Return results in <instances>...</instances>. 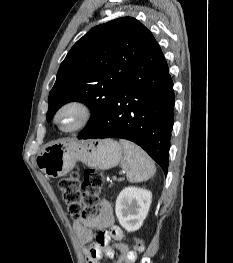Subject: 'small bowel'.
<instances>
[{
  "label": "small bowel",
  "instance_id": "obj_1",
  "mask_svg": "<svg viewBox=\"0 0 233 263\" xmlns=\"http://www.w3.org/2000/svg\"><path fill=\"white\" fill-rule=\"evenodd\" d=\"M73 228L81 243V249L86 258V263H101L103 255L113 259L114 251L110 247L111 240L120 256L114 263H135L137 254L122 242L124 234L122 229L114 224V215L111 204L102 200L99 213L93 219H76ZM94 231H97L95 240Z\"/></svg>",
  "mask_w": 233,
  "mask_h": 263
}]
</instances>
